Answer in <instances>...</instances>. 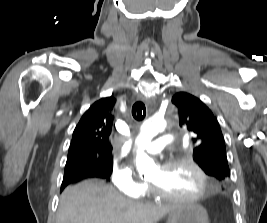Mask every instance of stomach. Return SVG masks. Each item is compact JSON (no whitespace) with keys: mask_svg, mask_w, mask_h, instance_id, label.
Returning <instances> with one entry per match:
<instances>
[{"mask_svg":"<svg viewBox=\"0 0 267 223\" xmlns=\"http://www.w3.org/2000/svg\"><path fill=\"white\" fill-rule=\"evenodd\" d=\"M167 223H209L204 207L194 203H183L175 206L168 214Z\"/></svg>","mask_w":267,"mask_h":223,"instance_id":"stomach-1","label":"stomach"}]
</instances>
